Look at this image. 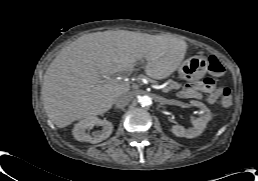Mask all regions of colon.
<instances>
[{
	"label": "colon",
	"mask_w": 258,
	"mask_h": 181,
	"mask_svg": "<svg viewBox=\"0 0 258 181\" xmlns=\"http://www.w3.org/2000/svg\"><path fill=\"white\" fill-rule=\"evenodd\" d=\"M208 70L215 76L223 75L225 69L221 62L214 56H211L208 61ZM222 99L221 103L224 107H229L232 104V92L228 87H224L221 90Z\"/></svg>",
	"instance_id": "1"
}]
</instances>
